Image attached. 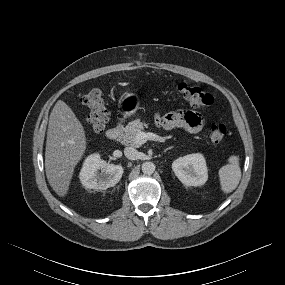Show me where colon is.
<instances>
[{"mask_svg":"<svg viewBox=\"0 0 285 285\" xmlns=\"http://www.w3.org/2000/svg\"><path fill=\"white\" fill-rule=\"evenodd\" d=\"M176 92L187 104L196 108L210 106L214 101L209 92L183 83L177 85ZM81 102L90 110L86 118L89 127L95 132L103 131L108 121V110L102 92L97 88L89 89L81 96ZM227 133L226 125L214 124L210 128L209 138L213 144H218Z\"/></svg>","mask_w":285,"mask_h":285,"instance_id":"1","label":"colon"}]
</instances>
